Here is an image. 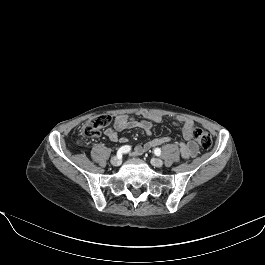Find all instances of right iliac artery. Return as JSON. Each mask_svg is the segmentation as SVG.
I'll list each match as a JSON object with an SVG mask.
<instances>
[{"mask_svg": "<svg viewBox=\"0 0 265 265\" xmlns=\"http://www.w3.org/2000/svg\"><path fill=\"white\" fill-rule=\"evenodd\" d=\"M131 150V147L128 145L122 146L118 152H117V156L118 157H122L123 154L129 152Z\"/></svg>", "mask_w": 265, "mask_h": 265, "instance_id": "obj_1", "label": "right iliac artery"}]
</instances>
